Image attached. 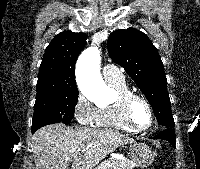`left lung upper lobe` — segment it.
Segmentation results:
<instances>
[{
	"instance_id": "left-lung-upper-lobe-1",
	"label": "left lung upper lobe",
	"mask_w": 200,
	"mask_h": 169,
	"mask_svg": "<svg viewBox=\"0 0 200 169\" xmlns=\"http://www.w3.org/2000/svg\"><path fill=\"white\" fill-rule=\"evenodd\" d=\"M108 51L144 93L158 123L174 128L163 63L148 36L134 28L117 30L109 35Z\"/></svg>"
}]
</instances>
